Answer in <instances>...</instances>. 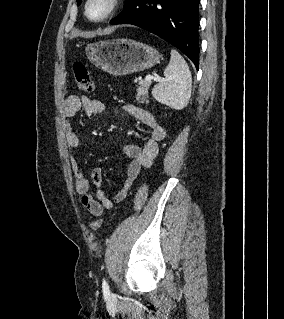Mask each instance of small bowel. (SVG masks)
I'll list each match as a JSON object with an SVG mask.
<instances>
[{
	"instance_id": "small-bowel-1",
	"label": "small bowel",
	"mask_w": 284,
	"mask_h": 319,
	"mask_svg": "<svg viewBox=\"0 0 284 319\" xmlns=\"http://www.w3.org/2000/svg\"><path fill=\"white\" fill-rule=\"evenodd\" d=\"M107 106L97 99H90L86 96L79 97L70 94L62 103V114L64 118L65 137L69 147L79 149L81 142L76 131L73 129L71 120L83 110L87 116H95L103 113ZM124 111L140 121L147 129L148 136L142 146L128 144L123 147L124 154L129 158V163L123 184L116 191L112 199H109L101 189V169L95 168L90 178H87L81 171L76 157L72 158V169L75 178L76 191L80 195L81 205L93 216H101L106 209H110L113 203L121 202L127 194L129 187L133 184L142 168L150 167L159 151V144L165 138L164 128L157 122L154 116L148 111L127 104ZM94 188V191H92Z\"/></svg>"
}]
</instances>
